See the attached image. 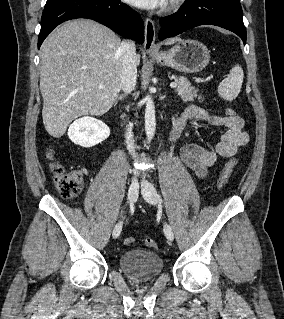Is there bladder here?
<instances>
[{
    "mask_svg": "<svg viewBox=\"0 0 284 319\" xmlns=\"http://www.w3.org/2000/svg\"><path fill=\"white\" fill-rule=\"evenodd\" d=\"M163 260L155 252L131 249L119 257V266L126 276L136 282H146L157 277L163 270Z\"/></svg>",
    "mask_w": 284,
    "mask_h": 319,
    "instance_id": "bladder-1",
    "label": "bladder"
}]
</instances>
